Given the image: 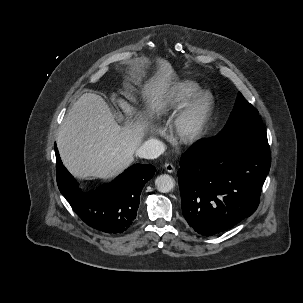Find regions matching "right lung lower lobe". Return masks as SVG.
<instances>
[{"label": "right lung lower lobe", "mask_w": 303, "mask_h": 303, "mask_svg": "<svg viewBox=\"0 0 303 303\" xmlns=\"http://www.w3.org/2000/svg\"><path fill=\"white\" fill-rule=\"evenodd\" d=\"M57 185L74 212L89 226L105 233H122L136 218L139 197L155 167L136 164L111 183L91 192H84L62 164L57 147Z\"/></svg>", "instance_id": "obj_1"}]
</instances>
